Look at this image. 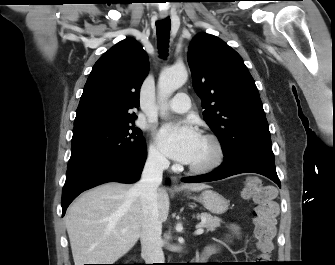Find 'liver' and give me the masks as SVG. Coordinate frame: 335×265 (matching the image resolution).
Returning a JSON list of instances; mask_svg holds the SVG:
<instances>
[{
	"instance_id": "obj_1",
	"label": "liver",
	"mask_w": 335,
	"mask_h": 265,
	"mask_svg": "<svg viewBox=\"0 0 335 265\" xmlns=\"http://www.w3.org/2000/svg\"><path fill=\"white\" fill-rule=\"evenodd\" d=\"M200 191L205 184H185ZM159 219L168 218L170 201L164 188L157 189ZM140 196L132 185L106 183L81 195L68 209L65 226L75 265L113 264L138 241L142 229Z\"/></svg>"
}]
</instances>
